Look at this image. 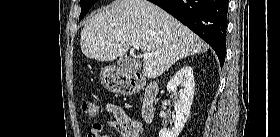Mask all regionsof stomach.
Returning a JSON list of instances; mask_svg holds the SVG:
<instances>
[{"label":"stomach","instance_id":"stomach-1","mask_svg":"<svg viewBox=\"0 0 280 137\" xmlns=\"http://www.w3.org/2000/svg\"><path fill=\"white\" fill-rule=\"evenodd\" d=\"M103 82L105 85L114 92L124 93L125 85H122L119 82H116L111 78V76L108 73L103 72L102 74Z\"/></svg>","mask_w":280,"mask_h":137}]
</instances>
